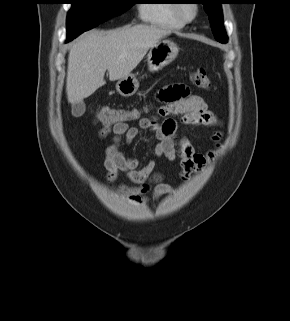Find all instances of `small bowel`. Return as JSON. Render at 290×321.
I'll list each match as a JSON object with an SVG mask.
<instances>
[{
	"label": "small bowel",
	"mask_w": 290,
	"mask_h": 321,
	"mask_svg": "<svg viewBox=\"0 0 290 321\" xmlns=\"http://www.w3.org/2000/svg\"><path fill=\"white\" fill-rule=\"evenodd\" d=\"M157 99L163 103L157 114L141 118L138 126H129L126 123L104 126L99 132L101 138L113 134L103 160L107 179L114 182L120 172L125 173L135 185L123 184L118 189L123 196L135 204L145 202L148 193L155 198L168 194L172 191V187L162 181L161 174L154 173L153 159H149L143 167L139 168V160L122 151L124 144H132L142 130L148 131L158 140L152 150V156H164L172 162L179 156L181 173L187 177L212 161L214 151L207 156L199 154L186 137L177 134L179 124L203 127H220L222 124L201 97L190 94L181 84L165 86L158 92ZM174 115H180V120L175 119ZM221 136L222 133L216 131L212 135V140L218 143Z\"/></svg>",
	"instance_id": "obj_1"
}]
</instances>
